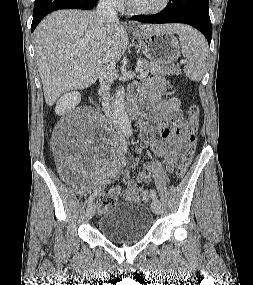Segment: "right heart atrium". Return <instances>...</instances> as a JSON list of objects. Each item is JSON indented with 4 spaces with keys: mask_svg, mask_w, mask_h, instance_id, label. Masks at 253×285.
Instances as JSON below:
<instances>
[{
    "mask_svg": "<svg viewBox=\"0 0 253 285\" xmlns=\"http://www.w3.org/2000/svg\"><path fill=\"white\" fill-rule=\"evenodd\" d=\"M106 5L112 8L120 9L124 6V0H102Z\"/></svg>",
    "mask_w": 253,
    "mask_h": 285,
    "instance_id": "d8ad5b80",
    "label": "right heart atrium"
}]
</instances>
